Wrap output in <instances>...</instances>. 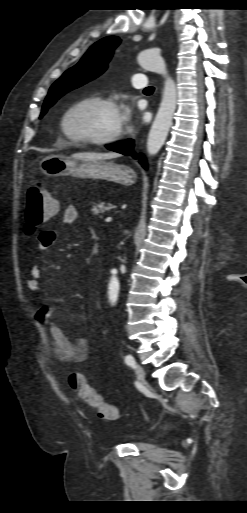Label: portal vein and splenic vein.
Returning a JSON list of instances; mask_svg holds the SVG:
<instances>
[{"instance_id": "18ae733b", "label": "portal vein and splenic vein", "mask_w": 247, "mask_h": 513, "mask_svg": "<svg viewBox=\"0 0 247 513\" xmlns=\"http://www.w3.org/2000/svg\"><path fill=\"white\" fill-rule=\"evenodd\" d=\"M111 221H112V218H111V217H107V218L105 219V222H106V223H109V222H111Z\"/></svg>"}]
</instances>
